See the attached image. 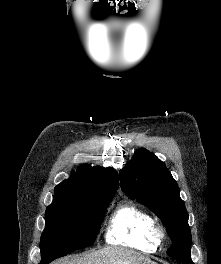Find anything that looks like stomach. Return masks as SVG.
<instances>
[{
    "mask_svg": "<svg viewBox=\"0 0 221 264\" xmlns=\"http://www.w3.org/2000/svg\"><path fill=\"white\" fill-rule=\"evenodd\" d=\"M142 264H158V263L149 260V261H144Z\"/></svg>",
    "mask_w": 221,
    "mask_h": 264,
    "instance_id": "0dacf381",
    "label": "stomach"
}]
</instances>
